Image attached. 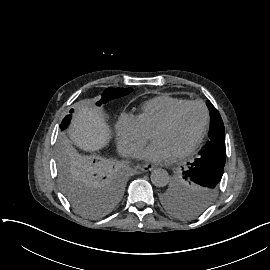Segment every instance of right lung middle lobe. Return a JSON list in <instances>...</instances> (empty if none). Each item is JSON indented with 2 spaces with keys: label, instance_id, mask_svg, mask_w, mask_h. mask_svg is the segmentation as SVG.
Wrapping results in <instances>:
<instances>
[{
  "label": "right lung middle lobe",
  "instance_id": "obj_1",
  "mask_svg": "<svg viewBox=\"0 0 270 270\" xmlns=\"http://www.w3.org/2000/svg\"><path fill=\"white\" fill-rule=\"evenodd\" d=\"M132 88H107L97 105L125 96ZM73 110H70L72 113ZM67 115L61 129L68 126ZM58 179L62 193L69 204L79 213L98 217L111 209L121 198L124 187L122 169L107 156L86 158L83 152L72 149L61 140L57 148Z\"/></svg>",
  "mask_w": 270,
  "mask_h": 270
}]
</instances>
